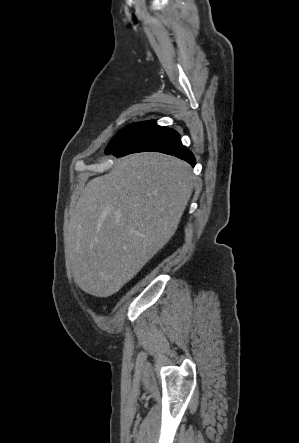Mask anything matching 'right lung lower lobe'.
Instances as JSON below:
<instances>
[{
	"label": "right lung lower lobe",
	"instance_id": "obj_1",
	"mask_svg": "<svg viewBox=\"0 0 299 443\" xmlns=\"http://www.w3.org/2000/svg\"><path fill=\"white\" fill-rule=\"evenodd\" d=\"M156 151L174 155L195 165L193 154L182 145L179 134L167 127H161L154 121H145L129 125L108 147L106 154L124 156L126 154Z\"/></svg>",
	"mask_w": 299,
	"mask_h": 443
}]
</instances>
